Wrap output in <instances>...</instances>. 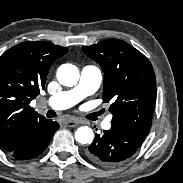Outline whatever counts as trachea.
<instances>
[{"instance_id":"obj_1","label":"trachea","mask_w":183,"mask_h":183,"mask_svg":"<svg viewBox=\"0 0 183 183\" xmlns=\"http://www.w3.org/2000/svg\"><path fill=\"white\" fill-rule=\"evenodd\" d=\"M46 116H47L48 118H53V117H56L57 114H56V112L53 111V110H48L47 113H46Z\"/></svg>"}]
</instances>
